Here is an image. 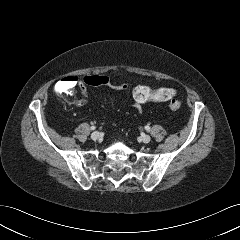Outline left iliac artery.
Listing matches in <instances>:
<instances>
[{"instance_id": "44dca946", "label": "left iliac artery", "mask_w": 240, "mask_h": 240, "mask_svg": "<svg viewBox=\"0 0 240 240\" xmlns=\"http://www.w3.org/2000/svg\"><path fill=\"white\" fill-rule=\"evenodd\" d=\"M145 129H146L147 131H150V127H149V126H145Z\"/></svg>"}]
</instances>
